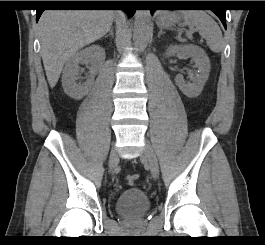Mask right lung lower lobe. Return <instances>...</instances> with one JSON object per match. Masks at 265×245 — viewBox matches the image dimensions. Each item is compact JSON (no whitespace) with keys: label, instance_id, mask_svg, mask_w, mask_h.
I'll return each mask as SVG.
<instances>
[{"label":"right lung lower lobe","instance_id":"1","mask_svg":"<svg viewBox=\"0 0 265 245\" xmlns=\"http://www.w3.org/2000/svg\"><path fill=\"white\" fill-rule=\"evenodd\" d=\"M54 6H70L66 3H55ZM79 7H121V10H124L129 17H132L135 9L134 6L129 3V1H84L77 5ZM44 9H38L36 13V21L38 22Z\"/></svg>","mask_w":265,"mask_h":245}]
</instances>
